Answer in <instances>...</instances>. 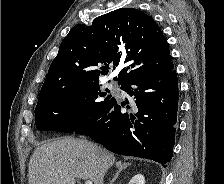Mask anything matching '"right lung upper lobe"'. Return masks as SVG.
<instances>
[{
	"mask_svg": "<svg viewBox=\"0 0 224 184\" xmlns=\"http://www.w3.org/2000/svg\"><path fill=\"white\" fill-rule=\"evenodd\" d=\"M127 64L119 85L148 73L173 67L168 43L161 29L144 12L121 8L78 24L63 39L41 88L38 103L73 85L98 82L119 62Z\"/></svg>",
	"mask_w": 224,
	"mask_h": 184,
	"instance_id": "cb5924a9",
	"label": "right lung upper lobe"
}]
</instances>
